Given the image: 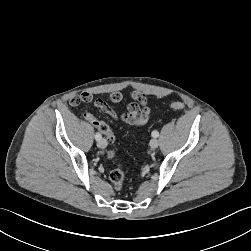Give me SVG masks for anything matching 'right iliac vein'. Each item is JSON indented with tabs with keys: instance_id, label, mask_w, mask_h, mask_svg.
<instances>
[{
	"instance_id": "63e3f726",
	"label": "right iliac vein",
	"mask_w": 251,
	"mask_h": 251,
	"mask_svg": "<svg viewBox=\"0 0 251 251\" xmlns=\"http://www.w3.org/2000/svg\"><path fill=\"white\" fill-rule=\"evenodd\" d=\"M97 146L101 149H104L107 146V142L105 139H100L97 142Z\"/></svg>"
}]
</instances>
